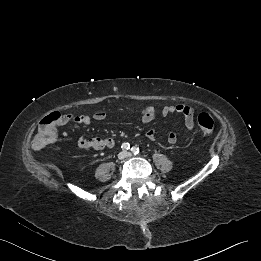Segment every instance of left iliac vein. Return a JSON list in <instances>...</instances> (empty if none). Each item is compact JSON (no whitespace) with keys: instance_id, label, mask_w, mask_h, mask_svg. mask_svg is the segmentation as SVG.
Returning a JSON list of instances; mask_svg holds the SVG:
<instances>
[{"instance_id":"obj_1","label":"left iliac vein","mask_w":261,"mask_h":261,"mask_svg":"<svg viewBox=\"0 0 261 261\" xmlns=\"http://www.w3.org/2000/svg\"><path fill=\"white\" fill-rule=\"evenodd\" d=\"M126 156H127V157H132V154H131L130 152H127V153H126Z\"/></svg>"}]
</instances>
